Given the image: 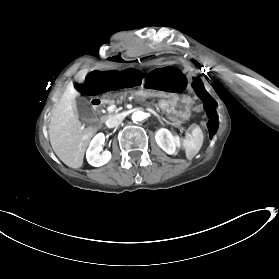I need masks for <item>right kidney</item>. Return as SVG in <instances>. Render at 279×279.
I'll use <instances>...</instances> for the list:
<instances>
[{"mask_svg":"<svg viewBox=\"0 0 279 279\" xmlns=\"http://www.w3.org/2000/svg\"><path fill=\"white\" fill-rule=\"evenodd\" d=\"M105 143V135L98 133L90 143L86 158L89 164L94 167H100L108 163L112 157L111 152L103 151L102 146Z\"/></svg>","mask_w":279,"mask_h":279,"instance_id":"ca27d5eb","label":"right kidney"}]
</instances>
